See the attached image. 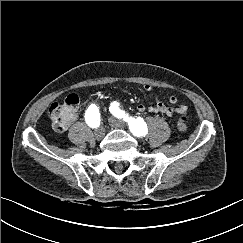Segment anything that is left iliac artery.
Instances as JSON below:
<instances>
[{"label":"left iliac artery","instance_id":"obj_1","mask_svg":"<svg viewBox=\"0 0 243 243\" xmlns=\"http://www.w3.org/2000/svg\"><path fill=\"white\" fill-rule=\"evenodd\" d=\"M110 112L117 118L123 119L128 122L130 126L131 132L135 136H143L147 133V126L142 118H133L129 116V114L125 113V111L119 108L118 102H112L110 105Z\"/></svg>","mask_w":243,"mask_h":243}]
</instances>
